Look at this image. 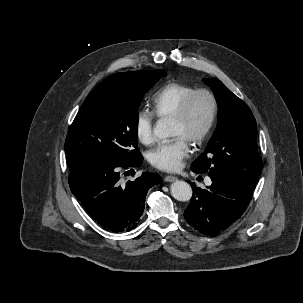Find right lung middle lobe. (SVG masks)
I'll return each mask as SVG.
<instances>
[{
  "label": "right lung middle lobe",
  "instance_id": "1",
  "mask_svg": "<svg viewBox=\"0 0 303 303\" xmlns=\"http://www.w3.org/2000/svg\"><path fill=\"white\" fill-rule=\"evenodd\" d=\"M166 76L162 70L116 73L99 84L77 113L65 141L67 166L89 157L129 164L137 148V109L143 93Z\"/></svg>",
  "mask_w": 303,
  "mask_h": 303
}]
</instances>
